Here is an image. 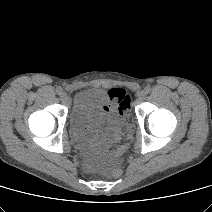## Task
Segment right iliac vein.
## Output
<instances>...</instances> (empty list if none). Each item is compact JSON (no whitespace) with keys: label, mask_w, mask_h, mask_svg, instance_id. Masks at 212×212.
<instances>
[{"label":"right iliac vein","mask_w":212,"mask_h":212,"mask_svg":"<svg viewBox=\"0 0 212 212\" xmlns=\"http://www.w3.org/2000/svg\"><path fill=\"white\" fill-rule=\"evenodd\" d=\"M60 98L62 101L66 102L68 100V95L65 92H61Z\"/></svg>","instance_id":"1"}]
</instances>
